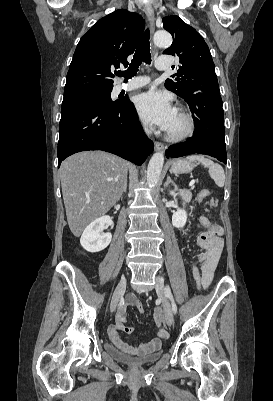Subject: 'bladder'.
Instances as JSON below:
<instances>
[{"mask_svg": "<svg viewBox=\"0 0 273 401\" xmlns=\"http://www.w3.org/2000/svg\"><path fill=\"white\" fill-rule=\"evenodd\" d=\"M105 351L112 359H114L120 363L126 364L128 366H131V367H140V366L152 364L155 361H157L163 353L162 348H158L157 350H155L147 355H144L141 357H131V356H128V355L124 354L123 352L119 351L110 342H107L105 344Z\"/></svg>", "mask_w": 273, "mask_h": 401, "instance_id": "1", "label": "bladder"}]
</instances>
